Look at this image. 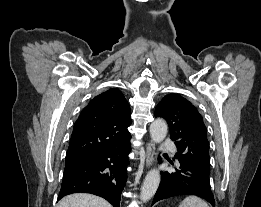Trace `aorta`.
<instances>
[{"label":"aorta","instance_id":"aorta-1","mask_svg":"<svg viewBox=\"0 0 261 207\" xmlns=\"http://www.w3.org/2000/svg\"><path fill=\"white\" fill-rule=\"evenodd\" d=\"M167 131V123L163 119H156L150 125V135L155 143L162 142L167 135ZM160 179V173L157 169H153L147 173L140 194L143 202L149 201L154 196L159 186Z\"/></svg>","mask_w":261,"mask_h":207}]
</instances>
